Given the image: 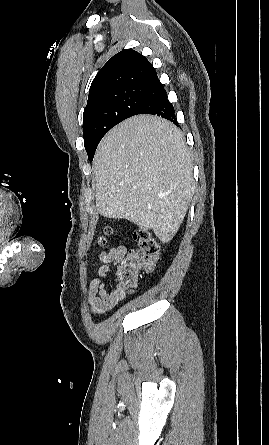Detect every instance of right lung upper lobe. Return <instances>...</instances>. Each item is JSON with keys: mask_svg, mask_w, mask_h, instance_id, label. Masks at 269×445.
I'll return each mask as SVG.
<instances>
[{"mask_svg": "<svg viewBox=\"0 0 269 445\" xmlns=\"http://www.w3.org/2000/svg\"><path fill=\"white\" fill-rule=\"evenodd\" d=\"M159 84L157 73L146 57L132 49H124L111 57L97 73L87 103L112 90L157 87Z\"/></svg>", "mask_w": 269, "mask_h": 445, "instance_id": "obj_1", "label": "right lung upper lobe"}]
</instances>
